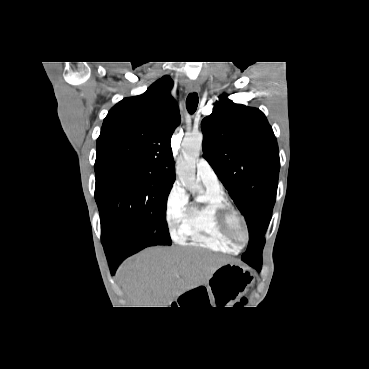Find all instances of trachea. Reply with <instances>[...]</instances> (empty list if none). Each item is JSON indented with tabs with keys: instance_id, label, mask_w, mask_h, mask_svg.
<instances>
[{
	"instance_id": "trachea-1",
	"label": "trachea",
	"mask_w": 369,
	"mask_h": 369,
	"mask_svg": "<svg viewBox=\"0 0 369 369\" xmlns=\"http://www.w3.org/2000/svg\"><path fill=\"white\" fill-rule=\"evenodd\" d=\"M198 106V95L197 93H190L186 100V107L190 114H193Z\"/></svg>"
}]
</instances>
